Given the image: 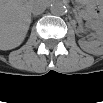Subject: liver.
<instances>
[{"instance_id": "6515ba94", "label": "liver", "mask_w": 103, "mask_h": 103, "mask_svg": "<svg viewBox=\"0 0 103 103\" xmlns=\"http://www.w3.org/2000/svg\"><path fill=\"white\" fill-rule=\"evenodd\" d=\"M31 5L25 0L1 2V50L14 49L24 41L31 24Z\"/></svg>"}]
</instances>
